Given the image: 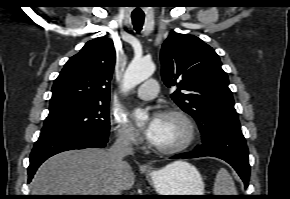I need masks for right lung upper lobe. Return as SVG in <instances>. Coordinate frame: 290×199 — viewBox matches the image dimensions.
Returning a JSON list of instances; mask_svg holds the SVG:
<instances>
[{"mask_svg":"<svg viewBox=\"0 0 290 199\" xmlns=\"http://www.w3.org/2000/svg\"><path fill=\"white\" fill-rule=\"evenodd\" d=\"M115 64L111 39L98 37L71 57L54 81L49 110L86 104L108 103Z\"/></svg>","mask_w":290,"mask_h":199,"instance_id":"cb5924a9","label":"right lung upper lobe"}]
</instances>
